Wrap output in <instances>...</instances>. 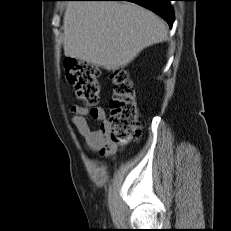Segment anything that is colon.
Instances as JSON below:
<instances>
[{"mask_svg": "<svg viewBox=\"0 0 231 231\" xmlns=\"http://www.w3.org/2000/svg\"><path fill=\"white\" fill-rule=\"evenodd\" d=\"M64 67L76 97L86 105L100 99L99 70L86 62L67 58ZM114 93L110 101V137L115 145L123 146L139 135L138 100L126 70L113 72Z\"/></svg>", "mask_w": 231, "mask_h": 231, "instance_id": "5ec220e1", "label": "colon"}]
</instances>
